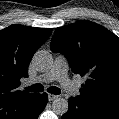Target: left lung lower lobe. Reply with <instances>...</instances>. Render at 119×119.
Here are the masks:
<instances>
[{
	"label": "left lung lower lobe",
	"instance_id": "obj_1",
	"mask_svg": "<svg viewBox=\"0 0 119 119\" xmlns=\"http://www.w3.org/2000/svg\"><path fill=\"white\" fill-rule=\"evenodd\" d=\"M68 103L69 109L62 119H119V113L101 109L77 97L69 98Z\"/></svg>",
	"mask_w": 119,
	"mask_h": 119
}]
</instances>
